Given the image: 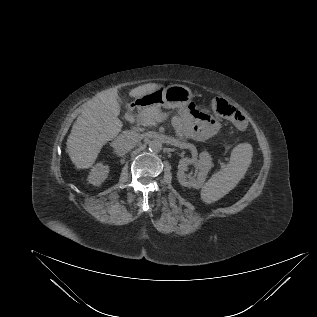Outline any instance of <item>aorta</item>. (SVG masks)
<instances>
[{
    "label": "aorta",
    "mask_w": 317,
    "mask_h": 317,
    "mask_svg": "<svg viewBox=\"0 0 317 317\" xmlns=\"http://www.w3.org/2000/svg\"><path fill=\"white\" fill-rule=\"evenodd\" d=\"M148 146H149V150L155 153L161 151L162 149V143L160 140H157V139L151 140Z\"/></svg>",
    "instance_id": "aorta-1"
}]
</instances>
